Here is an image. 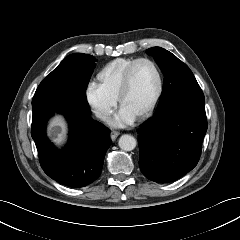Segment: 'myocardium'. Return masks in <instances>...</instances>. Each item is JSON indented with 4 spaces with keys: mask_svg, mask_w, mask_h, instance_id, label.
Listing matches in <instances>:
<instances>
[{
    "mask_svg": "<svg viewBox=\"0 0 240 240\" xmlns=\"http://www.w3.org/2000/svg\"><path fill=\"white\" fill-rule=\"evenodd\" d=\"M141 62H147L149 64L152 65L156 76H157V91L156 94L151 102V104L137 117V119L142 120L147 118L148 116H150L154 110L156 109V107L158 106L162 94H163V90H164V80H163V75L162 72L158 66V64L152 60L151 58L148 57H140L135 59L125 70L124 75H123V79H122V84H121V88L119 91V95H118V103L121 106L122 102L124 100V98L126 97V95L128 94L129 90H130V85H131V75L133 72V69L135 68V66Z\"/></svg>",
    "mask_w": 240,
    "mask_h": 240,
    "instance_id": "myocardium-1",
    "label": "myocardium"
}]
</instances>
